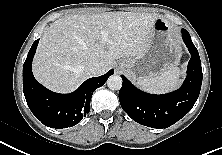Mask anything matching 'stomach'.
<instances>
[{
    "label": "stomach",
    "mask_w": 222,
    "mask_h": 155,
    "mask_svg": "<svg viewBox=\"0 0 222 155\" xmlns=\"http://www.w3.org/2000/svg\"><path fill=\"white\" fill-rule=\"evenodd\" d=\"M181 57V47L172 25L162 18L152 22L147 50L142 56L124 58L120 68L130 78L138 80L157 76L176 67Z\"/></svg>",
    "instance_id": "stomach-1"
}]
</instances>
